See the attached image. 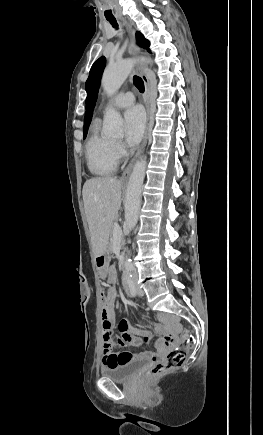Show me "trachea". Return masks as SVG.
<instances>
[{"label": "trachea", "mask_w": 263, "mask_h": 435, "mask_svg": "<svg viewBox=\"0 0 263 435\" xmlns=\"http://www.w3.org/2000/svg\"><path fill=\"white\" fill-rule=\"evenodd\" d=\"M110 22V24L114 27V28H118V24L116 20H108ZM133 83L134 85L137 87V89L140 92H144V82L143 80L139 77V76H134L133 77Z\"/></svg>", "instance_id": "1"}]
</instances>
